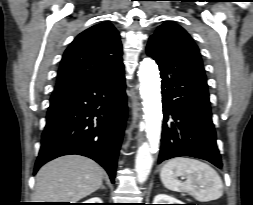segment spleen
Masks as SVG:
<instances>
[{
	"label": "spleen",
	"instance_id": "1",
	"mask_svg": "<svg viewBox=\"0 0 253 205\" xmlns=\"http://www.w3.org/2000/svg\"><path fill=\"white\" fill-rule=\"evenodd\" d=\"M177 176H183L186 180L182 182ZM160 178L167 189L186 192L200 202L216 200L223 195V183L219 174L197 159L178 157L169 160L162 167Z\"/></svg>",
	"mask_w": 253,
	"mask_h": 205
}]
</instances>
